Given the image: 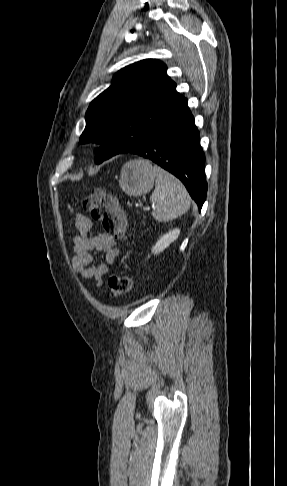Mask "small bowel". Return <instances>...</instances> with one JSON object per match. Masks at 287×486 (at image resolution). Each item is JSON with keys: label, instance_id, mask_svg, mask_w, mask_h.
<instances>
[{"label": "small bowel", "instance_id": "c3829d8e", "mask_svg": "<svg viewBox=\"0 0 287 486\" xmlns=\"http://www.w3.org/2000/svg\"><path fill=\"white\" fill-rule=\"evenodd\" d=\"M75 227L78 234L71 238L73 271L81 278L93 279L100 286L109 266L119 255L116 241L105 233H93L92 221L85 215L79 214L75 217ZM96 253H103V262L94 264Z\"/></svg>", "mask_w": 287, "mask_h": 486}]
</instances>
